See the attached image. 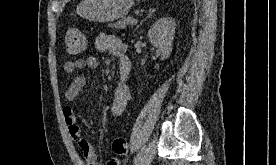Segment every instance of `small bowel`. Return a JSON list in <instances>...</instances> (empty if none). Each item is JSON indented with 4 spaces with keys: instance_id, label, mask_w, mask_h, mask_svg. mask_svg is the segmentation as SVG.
Instances as JSON below:
<instances>
[{
    "instance_id": "c3829d8e",
    "label": "small bowel",
    "mask_w": 276,
    "mask_h": 165,
    "mask_svg": "<svg viewBox=\"0 0 276 165\" xmlns=\"http://www.w3.org/2000/svg\"><path fill=\"white\" fill-rule=\"evenodd\" d=\"M97 50L107 52L118 60L120 78L115 86L114 99L110 108L113 117H119L125 110L128 101L131 99V92L127 83V78L131 70V62L127 55V46L115 35L110 33H100L95 40ZM99 66V61L95 56L87 58H79L74 61H66L62 70L65 74H72L77 70L96 69ZM86 83L84 75L80 74L74 78L65 90V98L68 101L74 100ZM63 116L68 129V132L74 142L80 148L86 165H102L98 159L94 148L81 135L79 125L75 113L71 107L63 109ZM106 165H119V160L116 157H111L107 160Z\"/></svg>"
}]
</instances>
